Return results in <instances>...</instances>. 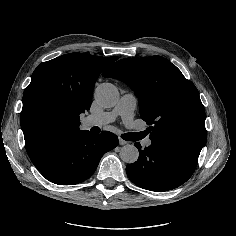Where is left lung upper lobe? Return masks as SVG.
<instances>
[{"instance_id": "5c2ea615", "label": "left lung upper lobe", "mask_w": 236, "mask_h": 236, "mask_svg": "<svg viewBox=\"0 0 236 236\" xmlns=\"http://www.w3.org/2000/svg\"><path fill=\"white\" fill-rule=\"evenodd\" d=\"M128 84L138 98L151 140L174 144L199 155L206 142L205 109L199 92L161 56L125 58L103 74Z\"/></svg>"}]
</instances>
